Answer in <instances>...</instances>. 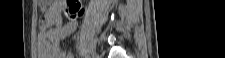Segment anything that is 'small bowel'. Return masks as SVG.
Here are the masks:
<instances>
[{
	"mask_svg": "<svg viewBox=\"0 0 225 58\" xmlns=\"http://www.w3.org/2000/svg\"><path fill=\"white\" fill-rule=\"evenodd\" d=\"M64 1L53 2L43 16L37 36L38 58H73L72 53L64 52L59 43L77 28V22L63 23Z\"/></svg>",
	"mask_w": 225,
	"mask_h": 58,
	"instance_id": "1",
	"label": "small bowel"
}]
</instances>
